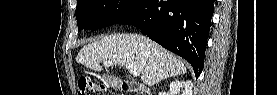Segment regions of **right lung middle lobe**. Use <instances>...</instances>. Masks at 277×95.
Instances as JSON below:
<instances>
[{"mask_svg":"<svg viewBox=\"0 0 277 95\" xmlns=\"http://www.w3.org/2000/svg\"><path fill=\"white\" fill-rule=\"evenodd\" d=\"M139 2L140 0H79L75 12L78 30H96L113 25Z\"/></svg>","mask_w":277,"mask_h":95,"instance_id":"dd1d6c3e","label":"right lung middle lobe"}]
</instances>
